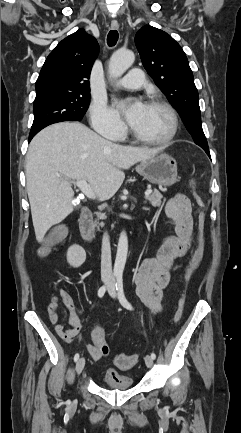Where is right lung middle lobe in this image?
<instances>
[{"label": "right lung middle lobe", "instance_id": "right-lung-middle-lobe-1", "mask_svg": "<svg viewBox=\"0 0 241 433\" xmlns=\"http://www.w3.org/2000/svg\"><path fill=\"white\" fill-rule=\"evenodd\" d=\"M90 94H52L35 98L30 134L62 121H80L89 105Z\"/></svg>", "mask_w": 241, "mask_h": 433}]
</instances>
